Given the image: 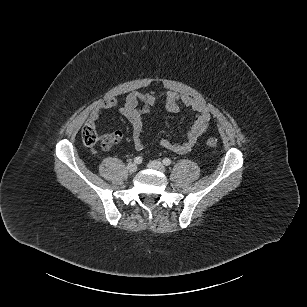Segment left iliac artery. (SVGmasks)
<instances>
[{
	"instance_id": "left-iliac-artery-1",
	"label": "left iliac artery",
	"mask_w": 307,
	"mask_h": 307,
	"mask_svg": "<svg viewBox=\"0 0 307 307\" xmlns=\"http://www.w3.org/2000/svg\"><path fill=\"white\" fill-rule=\"evenodd\" d=\"M172 163V161L169 158H164L163 159V164L166 166H169Z\"/></svg>"
}]
</instances>
